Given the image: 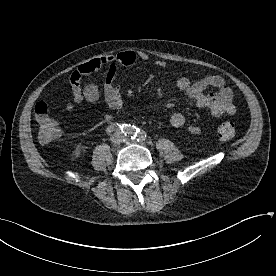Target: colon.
<instances>
[{
	"label": "colon",
	"mask_w": 276,
	"mask_h": 276,
	"mask_svg": "<svg viewBox=\"0 0 276 276\" xmlns=\"http://www.w3.org/2000/svg\"><path fill=\"white\" fill-rule=\"evenodd\" d=\"M35 119L39 129L38 138L41 143L47 144L60 137L59 124L49 115V109L45 102L36 104ZM235 134V125L230 121H223L216 128V135L223 141L231 140Z\"/></svg>",
	"instance_id": "obj_1"
}]
</instances>
